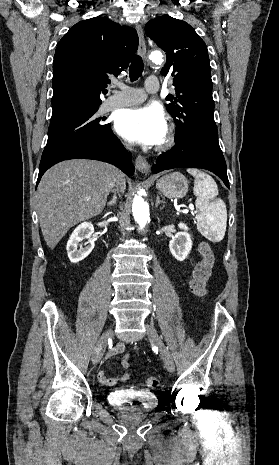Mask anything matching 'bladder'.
<instances>
[{
    "label": "bladder",
    "mask_w": 279,
    "mask_h": 465,
    "mask_svg": "<svg viewBox=\"0 0 279 465\" xmlns=\"http://www.w3.org/2000/svg\"><path fill=\"white\" fill-rule=\"evenodd\" d=\"M109 401L119 411L130 414L153 410L158 404L156 396L150 392L122 389L111 392Z\"/></svg>",
    "instance_id": "obj_1"
}]
</instances>
